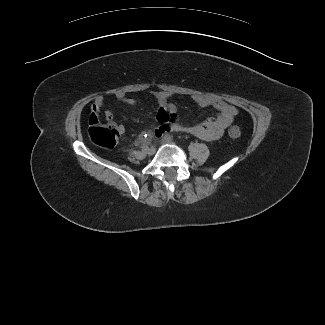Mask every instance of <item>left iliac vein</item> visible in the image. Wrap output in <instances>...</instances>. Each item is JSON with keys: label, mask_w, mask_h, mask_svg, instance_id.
I'll use <instances>...</instances> for the list:
<instances>
[{"label": "left iliac vein", "mask_w": 325, "mask_h": 325, "mask_svg": "<svg viewBox=\"0 0 325 325\" xmlns=\"http://www.w3.org/2000/svg\"><path fill=\"white\" fill-rule=\"evenodd\" d=\"M162 143H163V144H170V143H172V141L169 140V139L163 138V139H162Z\"/></svg>", "instance_id": "left-iliac-vein-1"}]
</instances>
